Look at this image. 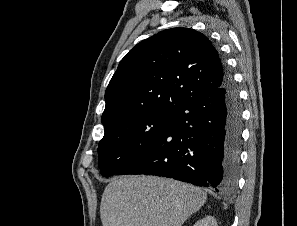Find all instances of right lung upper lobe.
<instances>
[{"label":"right lung upper lobe","mask_w":297,"mask_h":226,"mask_svg":"<svg viewBox=\"0 0 297 226\" xmlns=\"http://www.w3.org/2000/svg\"><path fill=\"white\" fill-rule=\"evenodd\" d=\"M224 65L210 40L173 28L138 43L121 60L105 92L104 128L137 114L173 110L222 86Z\"/></svg>","instance_id":"obj_1"}]
</instances>
